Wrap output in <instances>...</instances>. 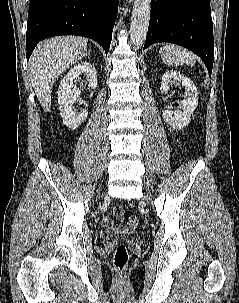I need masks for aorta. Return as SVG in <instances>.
I'll use <instances>...</instances> for the list:
<instances>
[{
	"instance_id": "obj_1",
	"label": "aorta",
	"mask_w": 239,
	"mask_h": 303,
	"mask_svg": "<svg viewBox=\"0 0 239 303\" xmlns=\"http://www.w3.org/2000/svg\"><path fill=\"white\" fill-rule=\"evenodd\" d=\"M151 0H135L131 23H130V41L133 46L139 48L143 45L150 20Z\"/></svg>"
}]
</instances>
